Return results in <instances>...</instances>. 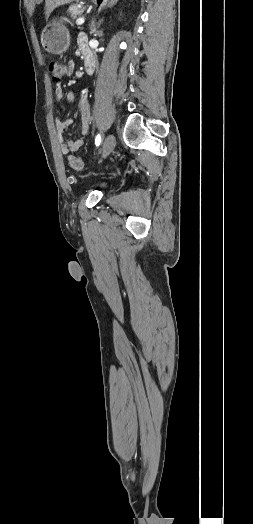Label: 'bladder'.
<instances>
[{"label": "bladder", "mask_w": 253, "mask_h": 524, "mask_svg": "<svg viewBox=\"0 0 253 524\" xmlns=\"http://www.w3.org/2000/svg\"><path fill=\"white\" fill-rule=\"evenodd\" d=\"M102 187H104L105 185L104 184H101Z\"/></svg>", "instance_id": "31cf9c89"}]
</instances>
